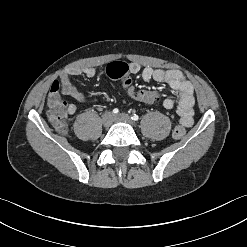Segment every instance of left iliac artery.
Segmentation results:
<instances>
[{"label":"left iliac artery","mask_w":247,"mask_h":247,"mask_svg":"<svg viewBox=\"0 0 247 247\" xmlns=\"http://www.w3.org/2000/svg\"><path fill=\"white\" fill-rule=\"evenodd\" d=\"M131 119L134 120V121H137L139 119V116L137 114H133L131 116Z\"/></svg>","instance_id":"obj_1"}]
</instances>
